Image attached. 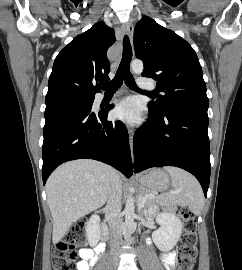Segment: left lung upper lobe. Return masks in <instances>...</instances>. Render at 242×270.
I'll return each mask as SVG.
<instances>
[{
	"mask_svg": "<svg viewBox=\"0 0 242 270\" xmlns=\"http://www.w3.org/2000/svg\"><path fill=\"white\" fill-rule=\"evenodd\" d=\"M136 57L144 62L142 76L157 80L156 90L165 95L148 107L158 115L182 107L208 108L206 84L191 45L149 17L135 26Z\"/></svg>",
	"mask_w": 242,
	"mask_h": 270,
	"instance_id": "obj_1",
	"label": "left lung upper lobe"
}]
</instances>
